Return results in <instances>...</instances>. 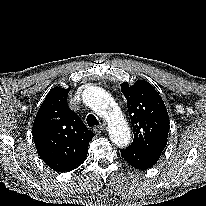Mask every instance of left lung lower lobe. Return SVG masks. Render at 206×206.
Segmentation results:
<instances>
[{
    "instance_id": "0a47b994",
    "label": "left lung lower lobe",
    "mask_w": 206,
    "mask_h": 206,
    "mask_svg": "<svg viewBox=\"0 0 206 206\" xmlns=\"http://www.w3.org/2000/svg\"><path fill=\"white\" fill-rule=\"evenodd\" d=\"M123 158L133 167L145 170L152 167L160 158L161 153L147 152L132 147L120 149Z\"/></svg>"
}]
</instances>
